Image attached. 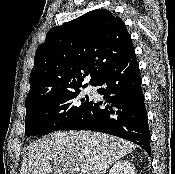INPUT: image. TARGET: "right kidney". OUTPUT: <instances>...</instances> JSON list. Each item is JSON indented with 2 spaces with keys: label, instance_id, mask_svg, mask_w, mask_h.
<instances>
[{
  "label": "right kidney",
  "instance_id": "right-kidney-1",
  "mask_svg": "<svg viewBox=\"0 0 175 174\" xmlns=\"http://www.w3.org/2000/svg\"><path fill=\"white\" fill-rule=\"evenodd\" d=\"M109 174H135V168L130 161L121 160L113 165Z\"/></svg>",
  "mask_w": 175,
  "mask_h": 174
}]
</instances>
